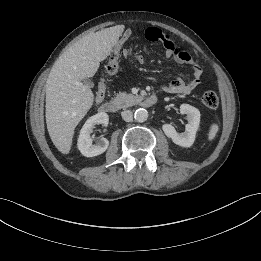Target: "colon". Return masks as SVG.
Listing matches in <instances>:
<instances>
[{
	"mask_svg": "<svg viewBox=\"0 0 261 261\" xmlns=\"http://www.w3.org/2000/svg\"><path fill=\"white\" fill-rule=\"evenodd\" d=\"M133 37V31L126 29L123 37L118 40L115 44V49L111 52L107 64L105 66V72L109 75L116 74L119 69V62L122 60V53ZM105 90V84L103 81L100 82L98 91L102 92ZM202 103L208 109H216L219 105L218 95L214 91H207L202 95Z\"/></svg>",
	"mask_w": 261,
	"mask_h": 261,
	"instance_id": "colon-1",
	"label": "colon"
}]
</instances>
